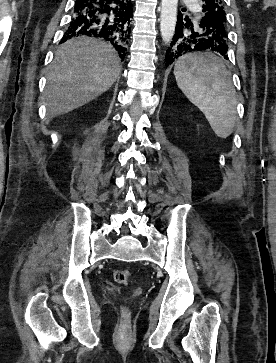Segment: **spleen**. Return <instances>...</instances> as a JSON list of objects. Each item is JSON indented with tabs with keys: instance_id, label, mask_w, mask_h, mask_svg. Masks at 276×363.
<instances>
[{
	"instance_id": "obj_1",
	"label": "spleen",
	"mask_w": 276,
	"mask_h": 363,
	"mask_svg": "<svg viewBox=\"0 0 276 363\" xmlns=\"http://www.w3.org/2000/svg\"><path fill=\"white\" fill-rule=\"evenodd\" d=\"M174 75L189 101L204 113L214 133L226 139L236 122V93L223 60L213 53H194L177 60Z\"/></svg>"
}]
</instances>
